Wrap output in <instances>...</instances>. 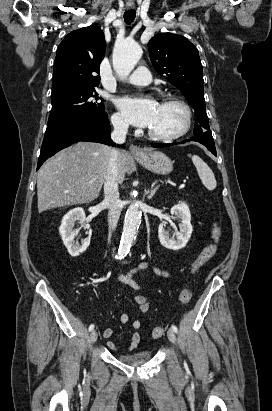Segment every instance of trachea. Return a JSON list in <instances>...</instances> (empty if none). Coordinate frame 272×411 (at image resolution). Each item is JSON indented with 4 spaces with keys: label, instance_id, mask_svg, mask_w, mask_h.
<instances>
[{
    "label": "trachea",
    "instance_id": "obj_1",
    "mask_svg": "<svg viewBox=\"0 0 272 411\" xmlns=\"http://www.w3.org/2000/svg\"><path fill=\"white\" fill-rule=\"evenodd\" d=\"M136 16V11L135 10H128L125 11L124 13V21L126 24H131Z\"/></svg>",
    "mask_w": 272,
    "mask_h": 411
}]
</instances>
